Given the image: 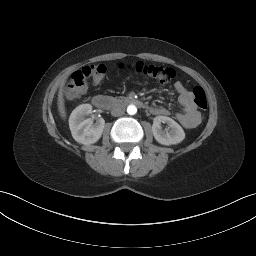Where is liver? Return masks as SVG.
<instances>
[{
	"mask_svg": "<svg viewBox=\"0 0 256 256\" xmlns=\"http://www.w3.org/2000/svg\"><path fill=\"white\" fill-rule=\"evenodd\" d=\"M66 79H67V76H65L60 83V87L58 91V100H57L58 112L60 117L63 119L66 117L65 101L63 98Z\"/></svg>",
	"mask_w": 256,
	"mask_h": 256,
	"instance_id": "liver-1",
	"label": "liver"
}]
</instances>
